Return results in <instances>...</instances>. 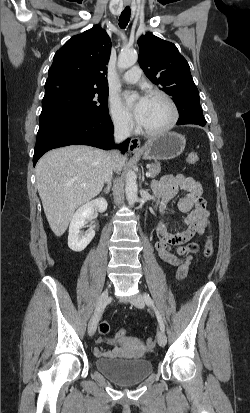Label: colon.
<instances>
[{
  "label": "colon",
  "instance_id": "obj_1",
  "mask_svg": "<svg viewBox=\"0 0 250 413\" xmlns=\"http://www.w3.org/2000/svg\"><path fill=\"white\" fill-rule=\"evenodd\" d=\"M186 160L189 164H195L198 161V156L196 153H190L187 156ZM203 254L206 258H209L213 254V242L210 237H208L205 241V248H204ZM108 332H109V324L106 321H102L99 325V333L104 335V334H107ZM127 337H128L127 329L124 327H120L117 330V333L114 335V340L115 341H120L121 339L125 340ZM146 344L149 349H153L155 347V340L153 338H148L146 340Z\"/></svg>",
  "mask_w": 250,
  "mask_h": 413
}]
</instances>
